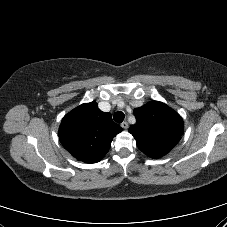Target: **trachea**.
<instances>
[{
    "label": "trachea",
    "mask_w": 227,
    "mask_h": 227,
    "mask_svg": "<svg viewBox=\"0 0 227 227\" xmlns=\"http://www.w3.org/2000/svg\"><path fill=\"white\" fill-rule=\"evenodd\" d=\"M124 118H125V115L121 111L116 112L113 116L114 121L117 123H121L124 120Z\"/></svg>",
    "instance_id": "1"
}]
</instances>
